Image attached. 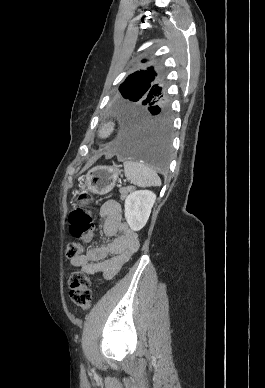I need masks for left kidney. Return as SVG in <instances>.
Returning <instances> with one entry per match:
<instances>
[{
	"label": "left kidney",
	"instance_id": "left-kidney-1",
	"mask_svg": "<svg viewBox=\"0 0 265 388\" xmlns=\"http://www.w3.org/2000/svg\"><path fill=\"white\" fill-rule=\"evenodd\" d=\"M156 196L149 190L131 192L125 200V218L131 230L139 232L147 224Z\"/></svg>",
	"mask_w": 265,
	"mask_h": 388
}]
</instances>
